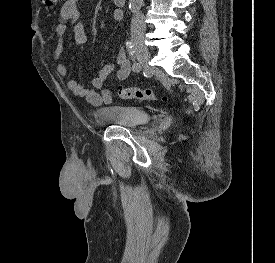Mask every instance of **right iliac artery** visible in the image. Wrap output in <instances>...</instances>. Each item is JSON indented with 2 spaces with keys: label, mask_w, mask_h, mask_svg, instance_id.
Masks as SVG:
<instances>
[{
  "label": "right iliac artery",
  "mask_w": 275,
  "mask_h": 263,
  "mask_svg": "<svg viewBox=\"0 0 275 263\" xmlns=\"http://www.w3.org/2000/svg\"><path fill=\"white\" fill-rule=\"evenodd\" d=\"M129 55L132 58L133 61V65H132V69L134 72H139L141 70V65L140 63L135 59V49H134V45L132 42H127L126 43Z\"/></svg>",
  "instance_id": "obj_1"
}]
</instances>
